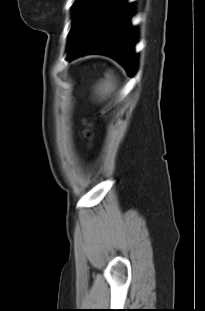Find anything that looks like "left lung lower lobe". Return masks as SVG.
<instances>
[{"label": "left lung lower lobe", "mask_w": 205, "mask_h": 311, "mask_svg": "<svg viewBox=\"0 0 205 311\" xmlns=\"http://www.w3.org/2000/svg\"><path fill=\"white\" fill-rule=\"evenodd\" d=\"M120 0L109 17L76 48L69 50L68 61L89 53L108 55L120 62L129 76L136 67L135 30L130 25L131 7Z\"/></svg>", "instance_id": "1"}]
</instances>
